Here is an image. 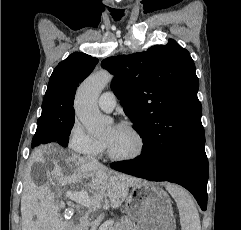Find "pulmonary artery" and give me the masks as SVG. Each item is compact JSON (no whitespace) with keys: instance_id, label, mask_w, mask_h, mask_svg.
<instances>
[{"instance_id":"pulmonary-artery-1","label":"pulmonary artery","mask_w":241,"mask_h":230,"mask_svg":"<svg viewBox=\"0 0 241 230\" xmlns=\"http://www.w3.org/2000/svg\"><path fill=\"white\" fill-rule=\"evenodd\" d=\"M98 105L101 110L111 112L116 106V97L111 91L102 93L98 99Z\"/></svg>"}]
</instances>
